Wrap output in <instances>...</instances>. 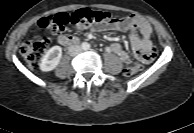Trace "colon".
I'll use <instances>...</instances> for the list:
<instances>
[{"mask_svg": "<svg viewBox=\"0 0 194 133\" xmlns=\"http://www.w3.org/2000/svg\"><path fill=\"white\" fill-rule=\"evenodd\" d=\"M115 20L116 19L109 12L91 8H80L71 14L58 13L44 17L40 20L39 25L50 31L52 34H55L61 32L64 29V26L68 23H71L78 29L82 30L88 27L107 25ZM49 44L50 38L48 36L25 41L20 48V53L25 63L30 67H36ZM154 55L155 54H140V60L136 64L127 66L123 70L124 75L132 76L138 73L144 68L145 64L153 59Z\"/></svg>", "mask_w": 194, "mask_h": 133, "instance_id": "colon-1", "label": "colon"}]
</instances>
